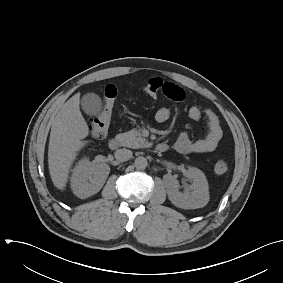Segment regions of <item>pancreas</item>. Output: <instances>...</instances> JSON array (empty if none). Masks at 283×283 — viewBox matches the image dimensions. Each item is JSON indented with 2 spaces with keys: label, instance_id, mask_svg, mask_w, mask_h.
I'll list each match as a JSON object with an SVG mask.
<instances>
[{
  "label": "pancreas",
  "instance_id": "cf45deb5",
  "mask_svg": "<svg viewBox=\"0 0 283 283\" xmlns=\"http://www.w3.org/2000/svg\"><path fill=\"white\" fill-rule=\"evenodd\" d=\"M117 139L121 142V145L129 148H144L150 146V143L141 136L140 131L132 129L128 132L117 135Z\"/></svg>",
  "mask_w": 283,
  "mask_h": 283
}]
</instances>
